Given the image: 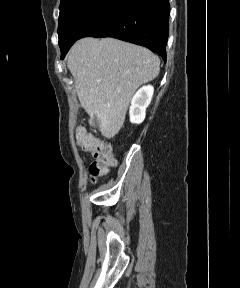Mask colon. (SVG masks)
Instances as JSON below:
<instances>
[{
	"mask_svg": "<svg viewBox=\"0 0 240 288\" xmlns=\"http://www.w3.org/2000/svg\"><path fill=\"white\" fill-rule=\"evenodd\" d=\"M78 144L85 150L92 153L94 161L89 171L92 182L104 177L115 165V158L109 144L103 142L84 128L78 127L75 131Z\"/></svg>",
	"mask_w": 240,
	"mask_h": 288,
	"instance_id": "5ec220e1",
	"label": "colon"
}]
</instances>
